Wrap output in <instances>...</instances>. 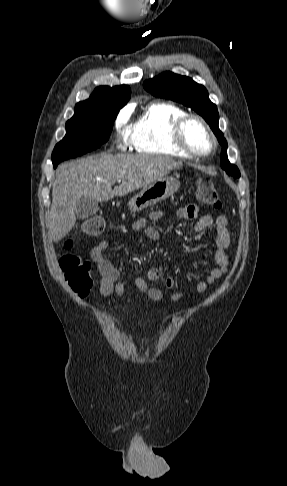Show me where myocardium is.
Segmentation results:
<instances>
[{"instance_id": "obj_1", "label": "myocardium", "mask_w": 287, "mask_h": 486, "mask_svg": "<svg viewBox=\"0 0 287 486\" xmlns=\"http://www.w3.org/2000/svg\"><path fill=\"white\" fill-rule=\"evenodd\" d=\"M195 121L199 123L206 134L208 135L210 141H211V146L210 148L205 151V152H198L192 149L186 142L185 139V129L186 126L191 122ZM173 142L174 144L185 154H187L190 157L194 158H202V157H207L210 154L214 152V150L217 147V140L216 137L211 130L210 126L208 123L205 121L204 118L197 114H185L183 117H181L174 125L173 128Z\"/></svg>"}]
</instances>
